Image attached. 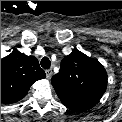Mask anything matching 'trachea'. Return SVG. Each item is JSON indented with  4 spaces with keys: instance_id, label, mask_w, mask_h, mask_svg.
Here are the masks:
<instances>
[{
    "instance_id": "1",
    "label": "trachea",
    "mask_w": 122,
    "mask_h": 122,
    "mask_svg": "<svg viewBox=\"0 0 122 122\" xmlns=\"http://www.w3.org/2000/svg\"><path fill=\"white\" fill-rule=\"evenodd\" d=\"M40 64L44 69H49L51 66V62L47 57L42 58Z\"/></svg>"
}]
</instances>
